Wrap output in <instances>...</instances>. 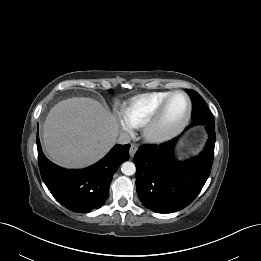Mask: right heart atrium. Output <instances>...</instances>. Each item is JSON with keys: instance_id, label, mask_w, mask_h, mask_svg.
<instances>
[{"instance_id": "1", "label": "right heart atrium", "mask_w": 261, "mask_h": 261, "mask_svg": "<svg viewBox=\"0 0 261 261\" xmlns=\"http://www.w3.org/2000/svg\"><path fill=\"white\" fill-rule=\"evenodd\" d=\"M124 128H127V125L126 124H123Z\"/></svg>"}]
</instances>
